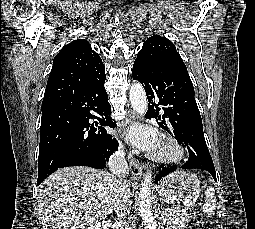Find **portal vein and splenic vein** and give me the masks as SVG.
<instances>
[{
	"label": "portal vein and splenic vein",
	"instance_id": "portal-vein-and-splenic-vein-1",
	"mask_svg": "<svg viewBox=\"0 0 255 229\" xmlns=\"http://www.w3.org/2000/svg\"><path fill=\"white\" fill-rule=\"evenodd\" d=\"M167 212H172V210L171 209H166V210H164L163 214H166ZM173 212H175V211H173Z\"/></svg>",
	"mask_w": 255,
	"mask_h": 229
}]
</instances>
